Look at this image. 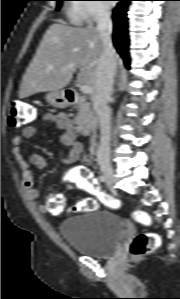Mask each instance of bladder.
Segmentation results:
<instances>
[{
  "instance_id": "obj_1",
  "label": "bladder",
  "mask_w": 180,
  "mask_h": 299,
  "mask_svg": "<svg viewBox=\"0 0 180 299\" xmlns=\"http://www.w3.org/2000/svg\"><path fill=\"white\" fill-rule=\"evenodd\" d=\"M65 242L76 252L106 258L120 247L124 221L109 209H94L65 219L59 227Z\"/></svg>"
}]
</instances>
